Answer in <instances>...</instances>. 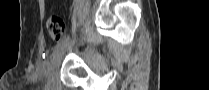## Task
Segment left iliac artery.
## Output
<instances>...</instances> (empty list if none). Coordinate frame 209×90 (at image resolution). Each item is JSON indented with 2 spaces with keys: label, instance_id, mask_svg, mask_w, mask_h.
<instances>
[{
  "label": "left iliac artery",
  "instance_id": "44dca946",
  "mask_svg": "<svg viewBox=\"0 0 209 90\" xmlns=\"http://www.w3.org/2000/svg\"><path fill=\"white\" fill-rule=\"evenodd\" d=\"M69 36L65 39H63L62 41L58 42L54 49H53V55H55L64 45H67V43L69 42Z\"/></svg>",
  "mask_w": 209,
  "mask_h": 90
}]
</instances>
